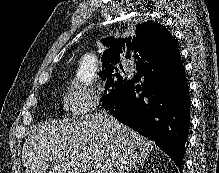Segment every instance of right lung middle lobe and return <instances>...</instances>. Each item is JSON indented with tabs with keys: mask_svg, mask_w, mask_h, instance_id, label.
Segmentation results:
<instances>
[{
	"mask_svg": "<svg viewBox=\"0 0 219 173\" xmlns=\"http://www.w3.org/2000/svg\"><path fill=\"white\" fill-rule=\"evenodd\" d=\"M99 75L104 79L107 78L102 102L103 107H105L123 89L131 77L126 74L121 66L117 68H105Z\"/></svg>",
	"mask_w": 219,
	"mask_h": 173,
	"instance_id": "obj_1",
	"label": "right lung middle lobe"
}]
</instances>
